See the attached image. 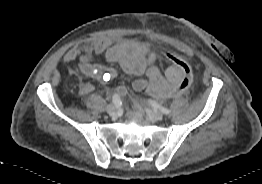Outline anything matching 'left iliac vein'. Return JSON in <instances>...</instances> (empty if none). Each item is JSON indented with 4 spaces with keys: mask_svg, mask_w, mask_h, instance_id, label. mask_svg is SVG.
<instances>
[{
    "mask_svg": "<svg viewBox=\"0 0 262 184\" xmlns=\"http://www.w3.org/2000/svg\"><path fill=\"white\" fill-rule=\"evenodd\" d=\"M147 114L153 121H161L163 119V114L160 112H155L147 109Z\"/></svg>",
    "mask_w": 262,
    "mask_h": 184,
    "instance_id": "obj_1",
    "label": "left iliac vein"
}]
</instances>
